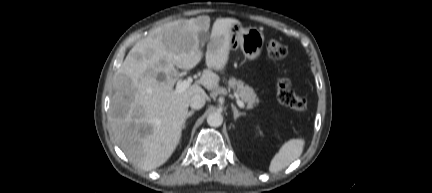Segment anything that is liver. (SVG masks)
I'll return each mask as SVG.
<instances>
[{
    "label": "liver",
    "instance_id": "1",
    "mask_svg": "<svg viewBox=\"0 0 432 193\" xmlns=\"http://www.w3.org/2000/svg\"><path fill=\"white\" fill-rule=\"evenodd\" d=\"M233 18L214 21L200 79L185 91L173 86L178 69L190 70L202 59L200 41L210 26L208 16L166 23L138 41L117 70L109 109L115 141L125 155L144 170L164 164L179 144L191 98L219 83V70L228 62ZM159 74L164 76L158 80ZM146 130L145 133L143 131Z\"/></svg>",
    "mask_w": 432,
    "mask_h": 193
}]
</instances>
